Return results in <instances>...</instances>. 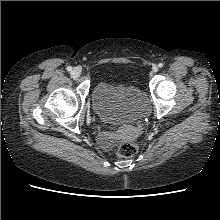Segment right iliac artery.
Here are the masks:
<instances>
[{
	"label": "right iliac artery",
	"mask_w": 220,
	"mask_h": 220,
	"mask_svg": "<svg viewBox=\"0 0 220 220\" xmlns=\"http://www.w3.org/2000/svg\"><path fill=\"white\" fill-rule=\"evenodd\" d=\"M67 70H68V71H71V70H72V67L68 66V67H67Z\"/></svg>",
	"instance_id": "1"
}]
</instances>
